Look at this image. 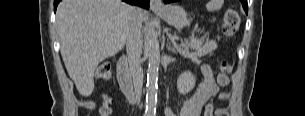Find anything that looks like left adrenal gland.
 <instances>
[{
	"label": "left adrenal gland",
	"mask_w": 305,
	"mask_h": 116,
	"mask_svg": "<svg viewBox=\"0 0 305 116\" xmlns=\"http://www.w3.org/2000/svg\"><path fill=\"white\" fill-rule=\"evenodd\" d=\"M173 44L175 45L174 41H173ZM167 49H168V51H171L173 53H177L175 48L172 47L169 42H167Z\"/></svg>",
	"instance_id": "a2214340"
}]
</instances>
